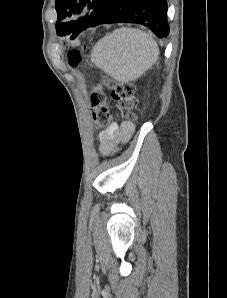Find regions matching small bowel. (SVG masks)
<instances>
[{
    "instance_id": "obj_1",
    "label": "small bowel",
    "mask_w": 227,
    "mask_h": 298,
    "mask_svg": "<svg viewBox=\"0 0 227 298\" xmlns=\"http://www.w3.org/2000/svg\"><path fill=\"white\" fill-rule=\"evenodd\" d=\"M134 132V124L130 121L113 122L98 135L101 155L111 154L118 143L127 142Z\"/></svg>"
}]
</instances>
